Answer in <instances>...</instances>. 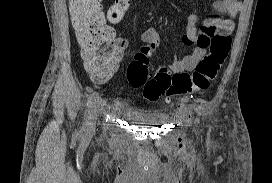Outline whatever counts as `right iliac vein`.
<instances>
[{
    "label": "right iliac vein",
    "instance_id": "right-iliac-vein-1",
    "mask_svg": "<svg viewBox=\"0 0 272 183\" xmlns=\"http://www.w3.org/2000/svg\"><path fill=\"white\" fill-rule=\"evenodd\" d=\"M102 102H103L102 99L98 98L95 103V106L91 112V118L89 121V125L87 127V134L88 135H91L95 131L96 120H97Z\"/></svg>",
    "mask_w": 272,
    "mask_h": 183
}]
</instances>
